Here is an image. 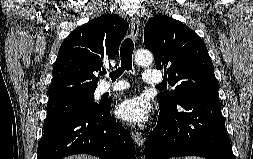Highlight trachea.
<instances>
[{
  "instance_id": "trachea-1",
  "label": "trachea",
  "mask_w": 253,
  "mask_h": 159,
  "mask_svg": "<svg viewBox=\"0 0 253 159\" xmlns=\"http://www.w3.org/2000/svg\"><path fill=\"white\" fill-rule=\"evenodd\" d=\"M134 50V44L132 39L126 38L120 48V59H121V67L111 72L109 76L112 81H115L124 71L132 70V54ZM106 74V71H103L101 75ZM157 87H163L162 85H158Z\"/></svg>"
}]
</instances>
